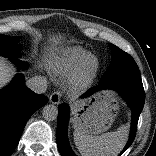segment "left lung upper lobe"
<instances>
[{
  "mask_svg": "<svg viewBox=\"0 0 156 156\" xmlns=\"http://www.w3.org/2000/svg\"><path fill=\"white\" fill-rule=\"evenodd\" d=\"M112 51L111 63L101 81L114 79L141 80L139 68L134 59L113 44H109Z\"/></svg>",
  "mask_w": 156,
  "mask_h": 156,
  "instance_id": "left-lung-upper-lobe-1",
  "label": "left lung upper lobe"
}]
</instances>
